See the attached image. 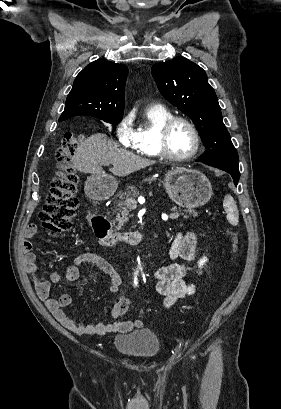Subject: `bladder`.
Segmentation results:
<instances>
[{
	"label": "bladder",
	"instance_id": "31cf9c89",
	"mask_svg": "<svg viewBox=\"0 0 281 409\" xmlns=\"http://www.w3.org/2000/svg\"><path fill=\"white\" fill-rule=\"evenodd\" d=\"M112 345L117 354L140 361L152 360L162 352L159 336L147 327L128 329L116 335Z\"/></svg>",
	"mask_w": 281,
	"mask_h": 409
}]
</instances>
